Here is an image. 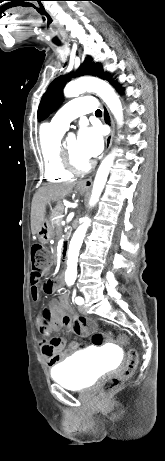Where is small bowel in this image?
Instances as JSON below:
<instances>
[{"instance_id": "c3829d8e", "label": "small bowel", "mask_w": 165, "mask_h": 461, "mask_svg": "<svg viewBox=\"0 0 165 461\" xmlns=\"http://www.w3.org/2000/svg\"><path fill=\"white\" fill-rule=\"evenodd\" d=\"M62 282L60 280H47L41 287L38 281L31 279L30 295L33 301H38L40 292L46 295L55 293ZM35 324L42 336L40 340V351L46 364L54 367L67 356L75 352L102 351L104 348V333L93 332L88 336L95 325L83 316L72 314L67 293H62L58 299L45 306L41 315L35 318ZM62 327H67L72 333L82 336L81 344L71 342L65 351V341L60 337H52V334Z\"/></svg>"}]
</instances>
